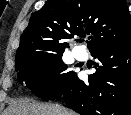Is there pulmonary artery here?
I'll use <instances>...</instances> for the list:
<instances>
[{"mask_svg": "<svg viewBox=\"0 0 131 115\" xmlns=\"http://www.w3.org/2000/svg\"><path fill=\"white\" fill-rule=\"evenodd\" d=\"M74 53L77 59H83L85 57V53L83 51L75 50Z\"/></svg>", "mask_w": 131, "mask_h": 115, "instance_id": "1", "label": "pulmonary artery"}]
</instances>
